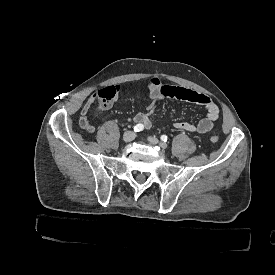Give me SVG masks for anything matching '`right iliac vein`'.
Returning a JSON list of instances; mask_svg holds the SVG:
<instances>
[{
  "instance_id": "obj_1",
  "label": "right iliac vein",
  "mask_w": 275,
  "mask_h": 275,
  "mask_svg": "<svg viewBox=\"0 0 275 275\" xmlns=\"http://www.w3.org/2000/svg\"><path fill=\"white\" fill-rule=\"evenodd\" d=\"M136 134L133 131H126L123 135V141L129 143L134 140Z\"/></svg>"
}]
</instances>
